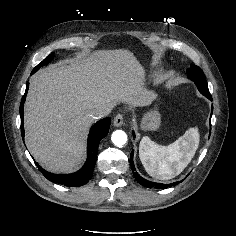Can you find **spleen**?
Masks as SVG:
<instances>
[{"mask_svg":"<svg viewBox=\"0 0 236 236\" xmlns=\"http://www.w3.org/2000/svg\"><path fill=\"white\" fill-rule=\"evenodd\" d=\"M199 146L197 128L188 129L168 146H161L144 136L139 145V157L147 173L159 180L178 176L191 162Z\"/></svg>","mask_w":236,"mask_h":236,"instance_id":"1","label":"spleen"}]
</instances>
